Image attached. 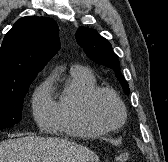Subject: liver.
Masks as SVG:
<instances>
[{"label": "liver", "mask_w": 168, "mask_h": 162, "mask_svg": "<svg viewBox=\"0 0 168 162\" xmlns=\"http://www.w3.org/2000/svg\"><path fill=\"white\" fill-rule=\"evenodd\" d=\"M0 162H98V157L66 139L25 136L0 142Z\"/></svg>", "instance_id": "6515ba94"}]
</instances>
